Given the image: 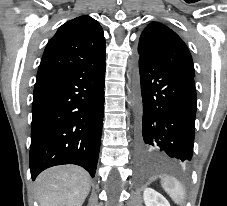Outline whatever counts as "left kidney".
<instances>
[{
  "label": "left kidney",
  "instance_id": "left-kidney-1",
  "mask_svg": "<svg viewBox=\"0 0 227 206\" xmlns=\"http://www.w3.org/2000/svg\"><path fill=\"white\" fill-rule=\"evenodd\" d=\"M143 196L146 206H170L169 202L160 193L151 188H146Z\"/></svg>",
  "mask_w": 227,
  "mask_h": 206
}]
</instances>
